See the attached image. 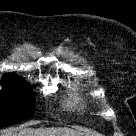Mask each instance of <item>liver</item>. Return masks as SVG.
I'll use <instances>...</instances> for the list:
<instances>
[{
	"label": "liver",
	"instance_id": "obj_1",
	"mask_svg": "<svg viewBox=\"0 0 136 136\" xmlns=\"http://www.w3.org/2000/svg\"><path fill=\"white\" fill-rule=\"evenodd\" d=\"M3 136H87L82 132L68 128L23 129L18 134L6 132Z\"/></svg>",
	"mask_w": 136,
	"mask_h": 136
}]
</instances>
